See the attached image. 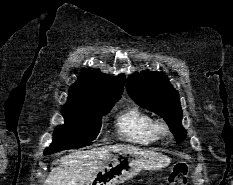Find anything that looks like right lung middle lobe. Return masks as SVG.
<instances>
[{"label":"right lung middle lobe","instance_id":"obj_1","mask_svg":"<svg viewBox=\"0 0 233 185\" xmlns=\"http://www.w3.org/2000/svg\"><path fill=\"white\" fill-rule=\"evenodd\" d=\"M117 101H106L93 105L65 104V124L55 129L53 141L44 155L65 149H76L92 144L100 132L102 116L106 115Z\"/></svg>","mask_w":233,"mask_h":185}]
</instances>
